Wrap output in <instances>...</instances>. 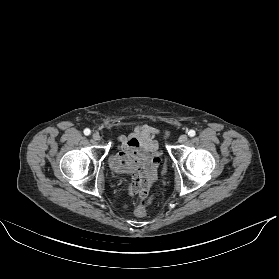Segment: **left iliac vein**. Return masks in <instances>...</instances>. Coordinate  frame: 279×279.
<instances>
[{"label":"left iliac vein","mask_w":279,"mask_h":279,"mask_svg":"<svg viewBox=\"0 0 279 279\" xmlns=\"http://www.w3.org/2000/svg\"><path fill=\"white\" fill-rule=\"evenodd\" d=\"M188 140V136L186 134H182L179 139H178V142L179 143H186Z\"/></svg>","instance_id":"1"}]
</instances>
